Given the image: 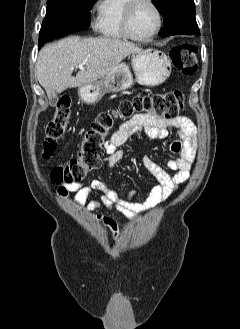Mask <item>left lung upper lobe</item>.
<instances>
[{
  "instance_id": "obj_1",
  "label": "left lung upper lobe",
  "mask_w": 240,
  "mask_h": 329,
  "mask_svg": "<svg viewBox=\"0 0 240 329\" xmlns=\"http://www.w3.org/2000/svg\"><path fill=\"white\" fill-rule=\"evenodd\" d=\"M164 17L163 29L159 35H199L195 19L194 0H152Z\"/></svg>"
}]
</instances>
